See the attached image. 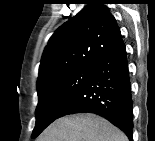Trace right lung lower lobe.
<instances>
[{"label":"right lung lower lobe","mask_w":155,"mask_h":141,"mask_svg":"<svg viewBox=\"0 0 155 141\" xmlns=\"http://www.w3.org/2000/svg\"><path fill=\"white\" fill-rule=\"evenodd\" d=\"M126 48L122 37L105 53L86 83L59 115L91 112L133 139V109Z\"/></svg>","instance_id":"98d812e1"}]
</instances>
